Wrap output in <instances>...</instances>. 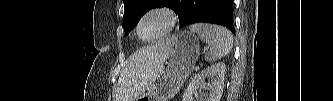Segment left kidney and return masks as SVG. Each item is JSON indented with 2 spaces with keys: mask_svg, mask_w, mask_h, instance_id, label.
I'll return each mask as SVG.
<instances>
[{
  "mask_svg": "<svg viewBox=\"0 0 333 101\" xmlns=\"http://www.w3.org/2000/svg\"><path fill=\"white\" fill-rule=\"evenodd\" d=\"M225 72L226 66L222 62L215 63L199 72L191 79L183 95V101H193V95L197 94L198 89L209 90L207 101H220L224 87ZM206 78L209 80L208 83L205 81ZM199 101H203V98H199Z\"/></svg>",
  "mask_w": 333,
  "mask_h": 101,
  "instance_id": "1",
  "label": "left kidney"
}]
</instances>
